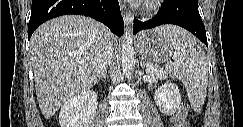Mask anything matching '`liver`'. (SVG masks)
I'll list each match as a JSON object with an SVG mask.
<instances>
[{
    "label": "liver",
    "instance_id": "liver-1",
    "mask_svg": "<svg viewBox=\"0 0 243 127\" xmlns=\"http://www.w3.org/2000/svg\"><path fill=\"white\" fill-rule=\"evenodd\" d=\"M114 41L105 26L80 15L52 19L33 33L29 52L37 101L46 119L67 100L96 84L103 49Z\"/></svg>",
    "mask_w": 243,
    "mask_h": 127
}]
</instances>
